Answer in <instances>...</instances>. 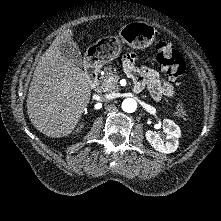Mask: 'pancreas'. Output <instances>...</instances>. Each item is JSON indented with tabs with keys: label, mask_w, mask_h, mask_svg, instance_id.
<instances>
[{
	"label": "pancreas",
	"mask_w": 221,
	"mask_h": 221,
	"mask_svg": "<svg viewBox=\"0 0 221 221\" xmlns=\"http://www.w3.org/2000/svg\"><path fill=\"white\" fill-rule=\"evenodd\" d=\"M117 70L115 68H112V66H108L104 68V74L101 75L100 77V83L103 89H105L106 91H117L118 88V80H119V76L116 75ZM113 77L114 80L109 83L108 80L109 78Z\"/></svg>",
	"instance_id": "obj_1"
}]
</instances>
